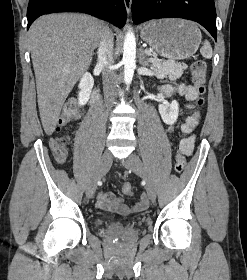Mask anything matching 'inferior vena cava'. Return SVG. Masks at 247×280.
I'll list each match as a JSON object with an SVG mask.
<instances>
[{
  "label": "inferior vena cava",
  "instance_id": "1",
  "mask_svg": "<svg viewBox=\"0 0 247 280\" xmlns=\"http://www.w3.org/2000/svg\"><path fill=\"white\" fill-rule=\"evenodd\" d=\"M113 46V35L109 29L104 27L100 34L98 65L103 67L104 93L110 102L114 99V88L117 79L116 73L109 69V66L113 63Z\"/></svg>",
  "mask_w": 247,
  "mask_h": 280
}]
</instances>
